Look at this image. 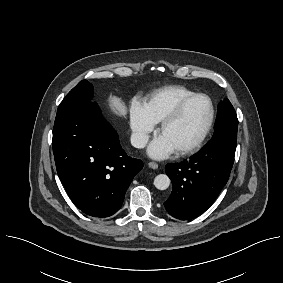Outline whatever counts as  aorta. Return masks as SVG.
<instances>
[{"mask_svg":"<svg viewBox=\"0 0 283 283\" xmlns=\"http://www.w3.org/2000/svg\"><path fill=\"white\" fill-rule=\"evenodd\" d=\"M154 185L159 190H165L170 185V179L165 174H159L154 179Z\"/></svg>","mask_w":283,"mask_h":283,"instance_id":"aorta-1","label":"aorta"}]
</instances>
